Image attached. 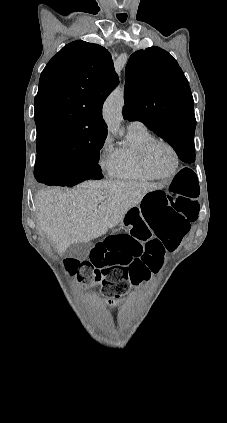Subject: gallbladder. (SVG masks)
<instances>
[{"mask_svg": "<svg viewBox=\"0 0 227 423\" xmlns=\"http://www.w3.org/2000/svg\"><path fill=\"white\" fill-rule=\"evenodd\" d=\"M92 241H83V243H72L67 249L69 257H75L79 261H84L89 255L90 249H92Z\"/></svg>", "mask_w": 227, "mask_h": 423, "instance_id": "gallbladder-1", "label": "gallbladder"}]
</instances>
